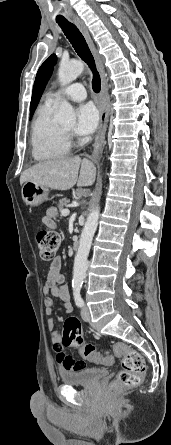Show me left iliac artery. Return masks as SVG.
Wrapping results in <instances>:
<instances>
[{"mask_svg":"<svg viewBox=\"0 0 171 445\" xmlns=\"http://www.w3.org/2000/svg\"><path fill=\"white\" fill-rule=\"evenodd\" d=\"M80 290H81L80 285L73 286V296H74L75 303L78 307H82L84 305V301L80 295Z\"/></svg>","mask_w":171,"mask_h":445,"instance_id":"1","label":"left iliac artery"}]
</instances>
